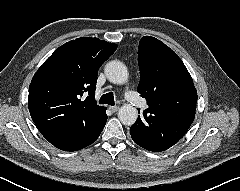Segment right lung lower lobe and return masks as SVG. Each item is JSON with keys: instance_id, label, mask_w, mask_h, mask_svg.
Wrapping results in <instances>:
<instances>
[{"instance_id": "98d812e1", "label": "right lung lower lobe", "mask_w": 240, "mask_h": 191, "mask_svg": "<svg viewBox=\"0 0 240 191\" xmlns=\"http://www.w3.org/2000/svg\"><path fill=\"white\" fill-rule=\"evenodd\" d=\"M107 121L106 112L101 119L92 126L81 130H69L45 137L56 148L64 151H77L95 142Z\"/></svg>"}]
</instances>
